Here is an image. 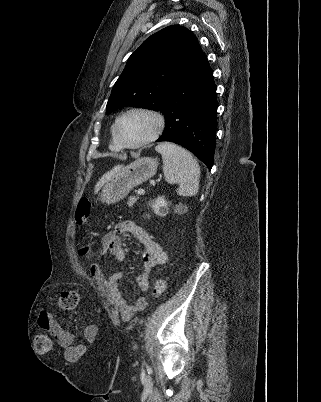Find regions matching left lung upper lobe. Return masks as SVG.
<instances>
[{"label":"left lung upper lobe","instance_id":"left-lung-upper-lobe-1","mask_svg":"<svg viewBox=\"0 0 321 402\" xmlns=\"http://www.w3.org/2000/svg\"><path fill=\"white\" fill-rule=\"evenodd\" d=\"M202 57L197 38L187 28L174 25L156 32L129 57L106 112L125 106L162 111L169 93Z\"/></svg>","mask_w":321,"mask_h":402}]
</instances>
